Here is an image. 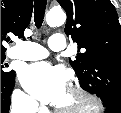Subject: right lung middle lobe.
Instances as JSON below:
<instances>
[{
    "label": "right lung middle lobe",
    "mask_w": 121,
    "mask_h": 113,
    "mask_svg": "<svg viewBox=\"0 0 121 113\" xmlns=\"http://www.w3.org/2000/svg\"><path fill=\"white\" fill-rule=\"evenodd\" d=\"M4 59H5V54L4 52H1V77H6L12 73V71L7 72L4 70V65H2Z\"/></svg>",
    "instance_id": "dd1d6c3e"
}]
</instances>
